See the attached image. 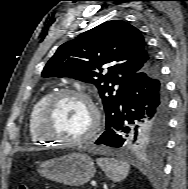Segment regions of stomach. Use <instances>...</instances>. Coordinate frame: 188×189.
Instances as JSON below:
<instances>
[{
  "instance_id": "stomach-1",
  "label": "stomach",
  "mask_w": 188,
  "mask_h": 189,
  "mask_svg": "<svg viewBox=\"0 0 188 189\" xmlns=\"http://www.w3.org/2000/svg\"><path fill=\"white\" fill-rule=\"evenodd\" d=\"M38 172L42 176L60 183L81 186L94 176L95 166L89 156L71 153L42 162Z\"/></svg>"
}]
</instances>
